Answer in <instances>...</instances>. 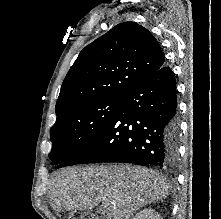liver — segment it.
Segmentation results:
<instances>
[{"instance_id":"6515ba94","label":"liver","mask_w":221,"mask_h":219,"mask_svg":"<svg viewBox=\"0 0 221 219\" xmlns=\"http://www.w3.org/2000/svg\"><path fill=\"white\" fill-rule=\"evenodd\" d=\"M168 184L153 170L130 165L72 167L54 173V210H91L102 202L107 219H130L168 195Z\"/></svg>"}]
</instances>
